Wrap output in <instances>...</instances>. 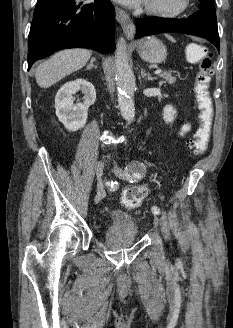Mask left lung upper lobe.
Wrapping results in <instances>:
<instances>
[{
  "label": "left lung upper lobe",
  "instance_id": "left-lung-upper-lobe-1",
  "mask_svg": "<svg viewBox=\"0 0 233 328\" xmlns=\"http://www.w3.org/2000/svg\"><path fill=\"white\" fill-rule=\"evenodd\" d=\"M200 9L208 14H215L213 0H199Z\"/></svg>",
  "mask_w": 233,
  "mask_h": 328
}]
</instances>
